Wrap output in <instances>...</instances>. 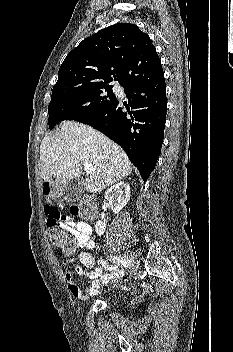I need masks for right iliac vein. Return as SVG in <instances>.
Listing matches in <instances>:
<instances>
[{
  "label": "right iliac vein",
  "instance_id": "obj_1",
  "mask_svg": "<svg viewBox=\"0 0 233 352\" xmlns=\"http://www.w3.org/2000/svg\"><path fill=\"white\" fill-rule=\"evenodd\" d=\"M124 255L127 259H129L131 263V266H132L131 275L135 274L139 266V260L137 256L131 251H126ZM115 286L118 287V284H116Z\"/></svg>",
  "mask_w": 233,
  "mask_h": 352
}]
</instances>
